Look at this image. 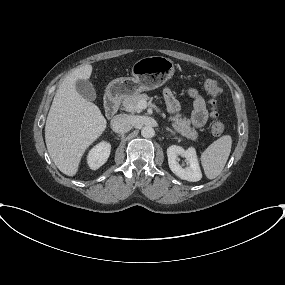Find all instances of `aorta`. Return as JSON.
<instances>
[{"mask_svg":"<svg viewBox=\"0 0 285 285\" xmlns=\"http://www.w3.org/2000/svg\"><path fill=\"white\" fill-rule=\"evenodd\" d=\"M141 135L145 138H151L154 136V129L151 126H144L141 129Z\"/></svg>","mask_w":285,"mask_h":285,"instance_id":"obj_1","label":"aorta"}]
</instances>
